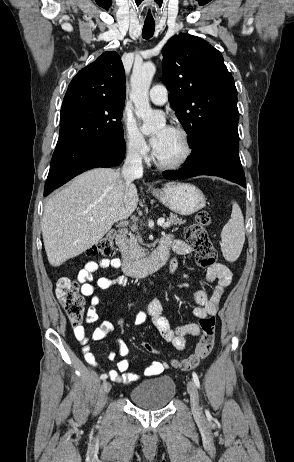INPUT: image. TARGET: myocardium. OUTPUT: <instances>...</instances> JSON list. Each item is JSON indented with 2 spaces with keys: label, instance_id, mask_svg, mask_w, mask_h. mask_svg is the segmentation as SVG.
<instances>
[{
  "label": "myocardium",
  "instance_id": "1",
  "mask_svg": "<svg viewBox=\"0 0 294 462\" xmlns=\"http://www.w3.org/2000/svg\"><path fill=\"white\" fill-rule=\"evenodd\" d=\"M171 129L176 131L182 137L185 150H184L183 155L179 159L175 161H170V162H165V161L160 160L156 152H154L155 164L159 168L166 169V170L178 169V168L183 167L189 161V159L191 158L193 154V144H192V140H191V136L189 132L182 126H173Z\"/></svg>",
  "mask_w": 294,
  "mask_h": 462
}]
</instances>
